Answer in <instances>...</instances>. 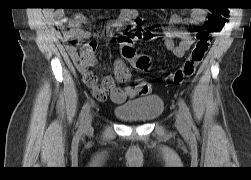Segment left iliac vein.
Wrapping results in <instances>:
<instances>
[{"label":"left iliac vein","instance_id":"1","mask_svg":"<svg viewBox=\"0 0 251 180\" xmlns=\"http://www.w3.org/2000/svg\"><path fill=\"white\" fill-rule=\"evenodd\" d=\"M176 124H177L178 129L180 130L185 129V122H184V118L181 112H177L176 114Z\"/></svg>","mask_w":251,"mask_h":180}]
</instances>
